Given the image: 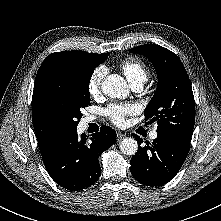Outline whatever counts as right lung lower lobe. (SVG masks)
Here are the masks:
<instances>
[{
	"mask_svg": "<svg viewBox=\"0 0 221 221\" xmlns=\"http://www.w3.org/2000/svg\"><path fill=\"white\" fill-rule=\"evenodd\" d=\"M77 130L61 136L47 151L41 153L44 165L52 179L60 186L77 191L94 184L100 177V154L116 141V132L102 126L90 140Z\"/></svg>",
	"mask_w": 221,
	"mask_h": 221,
	"instance_id": "right-lung-lower-lobe-1",
	"label": "right lung lower lobe"
}]
</instances>
